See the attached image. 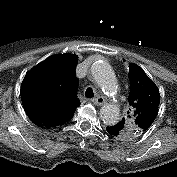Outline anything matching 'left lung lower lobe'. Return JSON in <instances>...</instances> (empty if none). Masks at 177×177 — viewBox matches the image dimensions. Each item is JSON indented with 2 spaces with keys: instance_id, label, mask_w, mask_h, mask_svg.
Segmentation results:
<instances>
[{
  "instance_id": "1",
  "label": "left lung lower lobe",
  "mask_w": 177,
  "mask_h": 177,
  "mask_svg": "<svg viewBox=\"0 0 177 177\" xmlns=\"http://www.w3.org/2000/svg\"><path fill=\"white\" fill-rule=\"evenodd\" d=\"M108 134L113 138H118L121 135V131L117 126L112 125L106 128Z\"/></svg>"
}]
</instances>
